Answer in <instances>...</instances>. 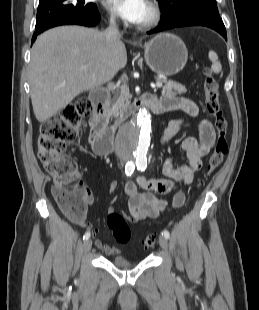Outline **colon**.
Wrapping results in <instances>:
<instances>
[{"instance_id": "obj_1", "label": "colon", "mask_w": 259, "mask_h": 310, "mask_svg": "<svg viewBox=\"0 0 259 310\" xmlns=\"http://www.w3.org/2000/svg\"><path fill=\"white\" fill-rule=\"evenodd\" d=\"M203 88L205 108L214 118L216 137L202 183L218 169L228 152L227 121L220 103L219 86L209 69L205 71ZM90 110L91 103L85 97L66 105L58 115L43 123L38 138L39 160L54 179L53 197L61 211L75 223L84 217L89 193L79 179L75 160L65 153V149L76 137L82 118L88 115ZM107 226L118 243L123 244L130 240V227L120 213L109 212ZM156 240V234H149L144 238L143 245L146 249L152 248Z\"/></svg>"}]
</instances>
